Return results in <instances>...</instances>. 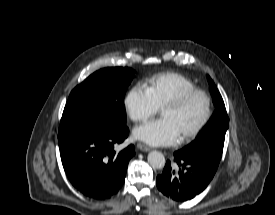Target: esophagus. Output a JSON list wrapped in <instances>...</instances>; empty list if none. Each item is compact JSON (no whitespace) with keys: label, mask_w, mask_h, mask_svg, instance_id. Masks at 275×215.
I'll return each mask as SVG.
<instances>
[{"label":"esophagus","mask_w":275,"mask_h":215,"mask_svg":"<svg viewBox=\"0 0 275 215\" xmlns=\"http://www.w3.org/2000/svg\"><path fill=\"white\" fill-rule=\"evenodd\" d=\"M137 148L144 152L150 151V148L143 143H138Z\"/></svg>","instance_id":"obj_1"}]
</instances>
